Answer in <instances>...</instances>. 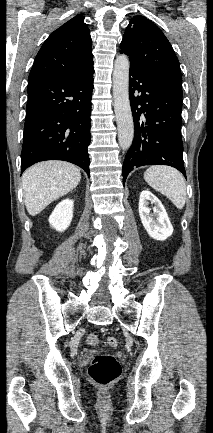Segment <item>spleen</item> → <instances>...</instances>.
I'll return each mask as SVG.
<instances>
[{
  "mask_svg": "<svg viewBox=\"0 0 213 433\" xmlns=\"http://www.w3.org/2000/svg\"><path fill=\"white\" fill-rule=\"evenodd\" d=\"M144 179L153 189L171 200L178 209L184 207L186 185L179 171L167 166H152L145 171Z\"/></svg>",
  "mask_w": 213,
  "mask_h": 433,
  "instance_id": "1",
  "label": "spleen"
}]
</instances>
